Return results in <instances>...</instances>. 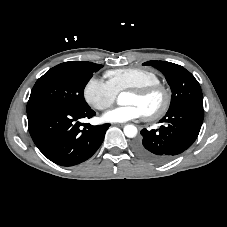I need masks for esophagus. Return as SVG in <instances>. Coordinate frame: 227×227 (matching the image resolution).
Listing matches in <instances>:
<instances>
[{
  "label": "esophagus",
  "instance_id": "esophagus-1",
  "mask_svg": "<svg viewBox=\"0 0 227 227\" xmlns=\"http://www.w3.org/2000/svg\"><path fill=\"white\" fill-rule=\"evenodd\" d=\"M114 125L118 126V127H123L125 124H123V123H115Z\"/></svg>",
  "mask_w": 227,
  "mask_h": 227
}]
</instances>
